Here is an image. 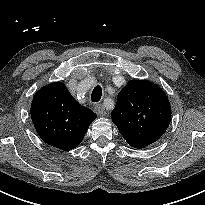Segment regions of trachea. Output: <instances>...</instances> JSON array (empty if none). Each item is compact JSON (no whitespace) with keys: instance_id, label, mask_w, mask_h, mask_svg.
I'll list each match as a JSON object with an SVG mask.
<instances>
[{"instance_id":"1","label":"trachea","mask_w":205,"mask_h":205,"mask_svg":"<svg viewBox=\"0 0 205 205\" xmlns=\"http://www.w3.org/2000/svg\"><path fill=\"white\" fill-rule=\"evenodd\" d=\"M101 96H102V88L97 85L93 91H92V94H91V100L92 102H98L100 101L101 99Z\"/></svg>"}]
</instances>
